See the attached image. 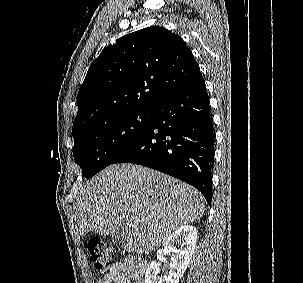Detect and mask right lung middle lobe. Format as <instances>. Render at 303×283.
<instances>
[{
  "label": "right lung middle lobe",
  "instance_id": "obj_1",
  "mask_svg": "<svg viewBox=\"0 0 303 283\" xmlns=\"http://www.w3.org/2000/svg\"><path fill=\"white\" fill-rule=\"evenodd\" d=\"M151 111L125 113L73 133L74 159L90 179L125 153L147 130Z\"/></svg>",
  "mask_w": 303,
  "mask_h": 283
}]
</instances>
